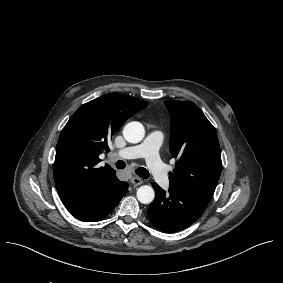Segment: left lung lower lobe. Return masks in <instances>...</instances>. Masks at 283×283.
Wrapping results in <instances>:
<instances>
[{"mask_svg": "<svg viewBox=\"0 0 283 283\" xmlns=\"http://www.w3.org/2000/svg\"><path fill=\"white\" fill-rule=\"evenodd\" d=\"M155 200L149 205L148 218L160 231L174 233L189 227L206 209L208 202L177 188L166 193L156 183Z\"/></svg>", "mask_w": 283, "mask_h": 283, "instance_id": "obj_1", "label": "left lung lower lobe"}]
</instances>
